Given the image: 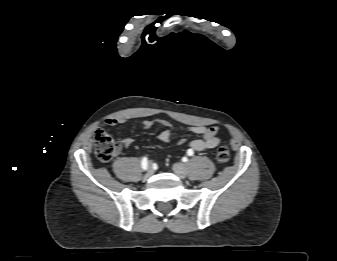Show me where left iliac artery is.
<instances>
[{
  "mask_svg": "<svg viewBox=\"0 0 337 261\" xmlns=\"http://www.w3.org/2000/svg\"><path fill=\"white\" fill-rule=\"evenodd\" d=\"M187 154H188L189 156H192V155L194 154V152H193V150L189 149V150L187 151Z\"/></svg>",
  "mask_w": 337,
  "mask_h": 261,
  "instance_id": "left-iliac-artery-1",
  "label": "left iliac artery"
}]
</instances>
